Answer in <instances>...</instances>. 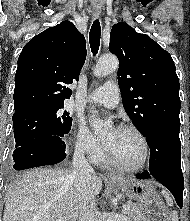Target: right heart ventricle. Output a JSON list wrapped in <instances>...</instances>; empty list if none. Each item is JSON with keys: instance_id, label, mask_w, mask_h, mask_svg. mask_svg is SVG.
I'll list each match as a JSON object with an SVG mask.
<instances>
[{"instance_id": "e07e8e85", "label": "right heart ventricle", "mask_w": 190, "mask_h": 221, "mask_svg": "<svg viewBox=\"0 0 190 221\" xmlns=\"http://www.w3.org/2000/svg\"><path fill=\"white\" fill-rule=\"evenodd\" d=\"M95 163L97 164H103V165H107L109 164V161L107 160L106 156L104 153H102L101 155H99L95 160Z\"/></svg>"}]
</instances>
